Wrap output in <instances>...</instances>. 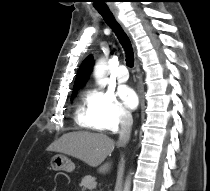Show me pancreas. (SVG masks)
<instances>
[{
	"label": "pancreas",
	"mask_w": 210,
	"mask_h": 191,
	"mask_svg": "<svg viewBox=\"0 0 210 191\" xmlns=\"http://www.w3.org/2000/svg\"><path fill=\"white\" fill-rule=\"evenodd\" d=\"M96 185L97 183L95 181V178L89 175L83 177L79 184L80 187H83V190H93L94 188H96Z\"/></svg>",
	"instance_id": "pancreas-1"
}]
</instances>
